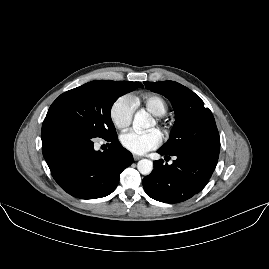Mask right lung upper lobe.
Instances as JSON below:
<instances>
[{
    "label": "right lung upper lobe",
    "instance_id": "right-lung-upper-lobe-1",
    "mask_svg": "<svg viewBox=\"0 0 269 269\" xmlns=\"http://www.w3.org/2000/svg\"><path fill=\"white\" fill-rule=\"evenodd\" d=\"M95 82L108 86V87H117V88H123L130 85H139L143 87V85L140 82L110 81V80H97Z\"/></svg>",
    "mask_w": 269,
    "mask_h": 269
}]
</instances>
